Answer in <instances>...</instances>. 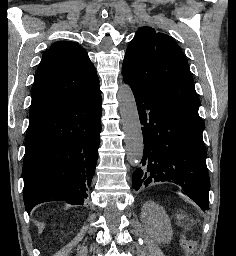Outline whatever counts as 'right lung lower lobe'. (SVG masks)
I'll list each match as a JSON object with an SVG mask.
<instances>
[{
    "label": "right lung lower lobe",
    "mask_w": 236,
    "mask_h": 256,
    "mask_svg": "<svg viewBox=\"0 0 236 256\" xmlns=\"http://www.w3.org/2000/svg\"><path fill=\"white\" fill-rule=\"evenodd\" d=\"M99 84L30 123L23 162L26 211L42 202L83 205L98 158Z\"/></svg>",
    "instance_id": "obj_1"
}]
</instances>
